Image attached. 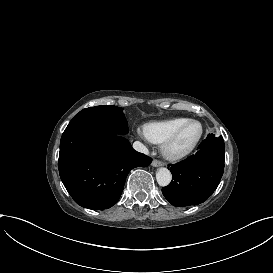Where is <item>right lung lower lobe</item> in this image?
Instances as JSON below:
<instances>
[{"instance_id": "right-lung-lower-lobe-1", "label": "right lung lower lobe", "mask_w": 273, "mask_h": 273, "mask_svg": "<svg viewBox=\"0 0 273 273\" xmlns=\"http://www.w3.org/2000/svg\"><path fill=\"white\" fill-rule=\"evenodd\" d=\"M151 161L135 151L123 135L79 125L65 129L58 167L65 188L77 204L102 210L119 200L130 170L146 167Z\"/></svg>"}]
</instances>
